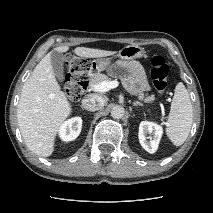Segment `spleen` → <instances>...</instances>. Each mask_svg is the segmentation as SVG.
Listing matches in <instances>:
<instances>
[{"mask_svg":"<svg viewBox=\"0 0 213 213\" xmlns=\"http://www.w3.org/2000/svg\"><path fill=\"white\" fill-rule=\"evenodd\" d=\"M193 122V109L189 93L182 82L175 87L174 97L167 120L166 134L175 146L187 139Z\"/></svg>","mask_w":213,"mask_h":213,"instance_id":"obj_1","label":"spleen"}]
</instances>
